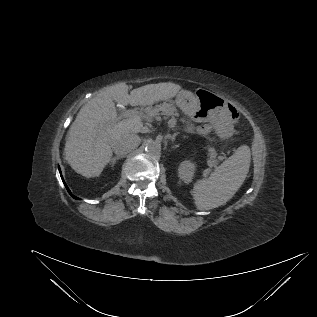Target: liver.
Listing matches in <instances>:
<instances>
[{
  "instance_id": "liver-1",
  "label": "liver",
  "mask_w": 317,
  "mask_h": 317,
  "mask_svg": "<svg viewBox=\"0 0 317 317\" xmlns=\"http://www.w3.org/2000/svg\"><path fill=\"white\" fill-rule=\"evenodd\" d=\"M181 86L175 83L148 84L128 93L124 83L107 88L88 101L79 111L66 136L65 159L84 177H98L110 161L112 144L141 131L142 121L117 120L115 102L147 106L175 97Z\"/></svg>"
}]
</instances>
